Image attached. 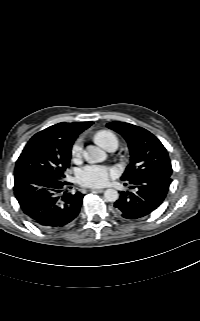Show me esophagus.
Here are the masks:
<instances>
[{"label":"esophagus","mask_w":200,"mask_h":321,"mask_svg":"<svg viewBox=\"0 0 200 321\" xmlns=\"http://www.w3.org/2000/svg\"><path fill=\"white\" fill-rule=\"evenodd\" d=\"M92 192H94V193H102L103 190L102 189H93Z\"/></svg>","instance_id":"34e87169"}]
</instances>
